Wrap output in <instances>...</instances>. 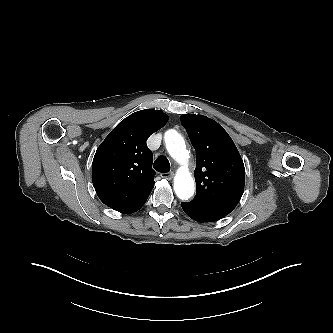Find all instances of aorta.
I'll list each match as a JSON object with an SVG mask.
<instances>
[{
    "label": "aorta",
    "instance_id": "obj_1",
    "mask_svg": "<svg viewBox=\"0 0 333 333\" xmlns=\"http://www.w3.org/2000/svg\"><path fill=\"white\" fill-rule=\"evenodd\" d=\"M165 145L170 156L182 165L175 177V194L181 200H188L194 194L195 182L185 167L188 159L185 141L177 131L169 130L165 133Z\"/></svg>",
    "mask_w": 333,
    "mask_h": 333
}]
</instances>
